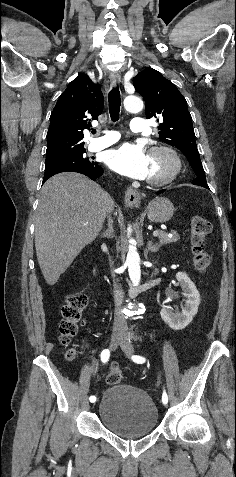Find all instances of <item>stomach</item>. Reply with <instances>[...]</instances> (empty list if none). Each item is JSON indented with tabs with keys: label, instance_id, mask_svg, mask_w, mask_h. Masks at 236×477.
<instances>
[{
	"label": "stomach",
	"instance_id": "stomach-1",
	"mask_svg": "<svg viewBox=\"0 0 236 477\" xmlns=\"http://www.w3.org/2000/svg\"><path fill=\"white\" fill-rule=\"evenodd\" d=\"M174 210L172 202L164 197L155 198L146 208L148 219L154 223L169 221L174 214Z\"/></svg>",
	"mask_w": 236,
	"mask_h": 477
}]
</instances>
